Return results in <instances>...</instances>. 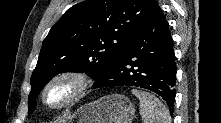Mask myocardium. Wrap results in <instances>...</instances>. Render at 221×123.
<instances>
[{"instance_id": "f54148a6", "label": "myocardium", "mask_w": 221, "mask_h": 123, "mask_svg": "<svg viewBox=\"0 0 221 123\" xmlns=\"http://www.w3.org/2000/svg\"><path fill=\"white\" fill-rule=\"evenodd\" d=\"M67 84L69 94L59 103L51 104L47 95L48 92L57 84ZM91 87L90 78L83 72L66 70L53 75L43 86L41 91V101L50 110H61L79 102Z\"/></svg>"}]
</instances>
